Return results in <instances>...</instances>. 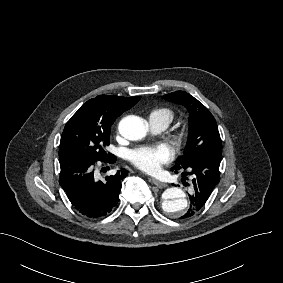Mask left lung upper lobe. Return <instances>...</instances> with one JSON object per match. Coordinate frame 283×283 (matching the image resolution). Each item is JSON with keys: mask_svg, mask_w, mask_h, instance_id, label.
I'll return each instance as SVG.
<instances>
[{"mask_svg": "<svg viewBox=\"0 0 283 283\" xmlns=\"http://www.w3.org/2000/svg\"><path fill=\"white\" fill-rule=\"evenodd\" d=\"M163 97L167 101L180 103L190 113L188 142L184 154L176 161L175 166L187 167L205 154H222L217 123L202 103L185 91H176Z\"/></svg>", "mask_w": 283, "mask_h": 283, "instance_id": "1", "label": "left lung upper lobe"}]
</instances>
